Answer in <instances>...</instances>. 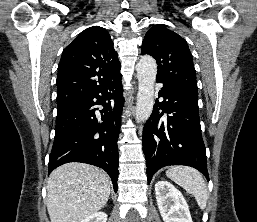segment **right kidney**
<instances>
[{
	"label": "right kidney",
	"instance_id": "1",
	"mask_svg": "<svg viewBox=\"0 0 257 222\" xmlns=\"http://www.w3.org/2000/svg\"><path fill=\"white\" fill-rule=\"evenodd\" d=\"M81 222H107V214L104 212H96L86 217Z\"/></svg>",
	"mask_w": 257,
	"mask_h": 222
}]
</instances>
